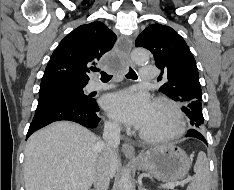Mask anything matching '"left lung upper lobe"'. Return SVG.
Wrapping results in <instances>:
<instances>
[{"instance_id": "1", "label": "left lung upper lobe", "mask_w": 234, "mask_h": 190, "mask_svg": "<svg viewBox=\"0 0 234 190\" xmlns=\"http://www.w3.org/2000/svg\"><path fill=\"white\" fill-rule=\"evenodd\" d=\"M136 47L148 49L166 80L160 91L181 103L193 128H204L202 91L196 61L184 39L171 27L153 24L136 39Z\"/></svg>"}]
</instances>
